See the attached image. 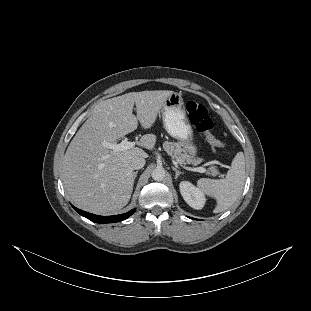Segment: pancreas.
I'll return each instance as SVG.
<instances>
[{"label": "pancreas", "mask_w": 311, "mask_h": 311, "mask_svg": "<svg viewBox=\"0 0 311 311\" xmlns=\"http://www.w3.org/2000/svg\"><path fill=\"white\" fill-rule=\"evenodd\" d=\"M163 149L167 152L168 155L175 158L177 162L182 164H193L198 165L203 162L202 158L193 157L188 152V147L183 142H171L165 141L163 143ZM207 175L217 176L219 174L215 166H211L206 172Z\"/></svg>", "instance_id": "cf45deb5"}]
</instances>
